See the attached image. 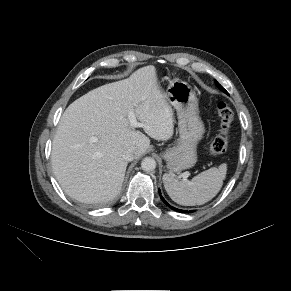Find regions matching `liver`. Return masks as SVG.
<instances>
[{
    "label": "liver",
    "mask_w": 291,
    "mask_h": 291,
    "mask_svg": "<svg viewBox=\"0 0 291 291\" xmlns=\"http://www.w3.org/2000/svg\"><path fill=\"white\" fill-rule=\"evenodd\" d=\"M129 111L151 138L173 136L172 109L154 66L93 89L67 107L53 140L51 162L70 197L97 203L119 194L128 164L124 152L134 148V158H139L150 146L149 137L130 126Z\"/></svg>",
    "instance_id": "6515ba94"
}]
</instances>
